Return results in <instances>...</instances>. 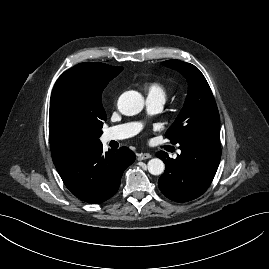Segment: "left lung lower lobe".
Segmentation results:
<instances>
[{"label": "left lung lower lobe", "mask_w": 269, "mask_h": 269, "mask_svg": "<svg viewBox=\"0 0 269 269\" xmlns=\"http://www.w3.org/2000/svg\"><path fill=\"white\" fill-rule=\"evenodd\" d=\"M176 159L159 151L156 156L165 163L158 180L161 192L176 202H187L202 195L211 184L221 157L220 137L198 136L181 145Z\"/></svg>", "instance_id": "1"}]
</instances>
